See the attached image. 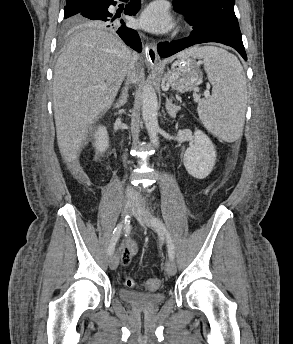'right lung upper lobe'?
I'll list each match as a JSON object with an SVG mask.
<instances>
[{"label": "right lung upper lobe", "instance_id": "obj_1", "mask_svg": "<svg viewBox=\"0 0 293 344\" xmlns=\"http://www.w3.org/2000/svg\"><path fill=\"white\" fill-rule=\"evenodd\" d=\"M92 0H66L67 5L71 4H77V3H82V2H89Z\"/></svg>", "mask_w": 293, "mask_h": 344}]
</instances>
